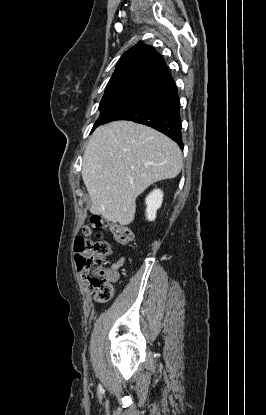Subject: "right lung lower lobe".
<instances>
[{
	"label": "right lung lower lobe",
	"instance_id": "right-lung-lower-lobe-1",
	"mask_svg": "<svg viewBox=\"0 0 266 415\" xmlns=\"http://www.w3.org/2000/svg\"><path fill=\"white\" fill-rule=\"evenodd\" d=\"M116 120H129L152 127L173 139L183 149L180 102L173 80L115 113L107 123Z\"/></svg>",
	"mask_w": 266,
	"mask_h": 415
}]
</instances>
